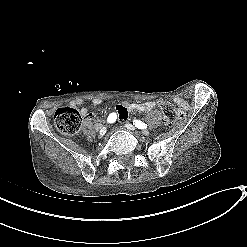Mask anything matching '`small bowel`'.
Returning a JSON list of instances; mask_svg holds the SVG:
<instances>
[{"label": "small bowel", "mask_w": 247, "mask_h": 247, "mask_svg": "<svg viewBox=\"0 0 247 247\" xmlns=\"http://www.w3.org/2000/svg\"><path fill=\"white\" fill-rule=\"evenodd\" d=\"M101 103V100L98 98H95L92 100V105L93 106H98ZM176 103L178 106H183L184 110L187 108L186 103L180 99H176ZM83 104V101L81 99L75 100L72 102L73 106H81ZM157 108V103L153 101H148V102H142V103H120L116 106L115 111L116 114L119 118V120L124 121L127 119L128 115L130 112L138 111V112H150L154 111ZM81 115L86 117L89 115L88 108L87 107H82L80 111Z\"/></svg>", "instance_id": "obj_1"}]
</instances>
